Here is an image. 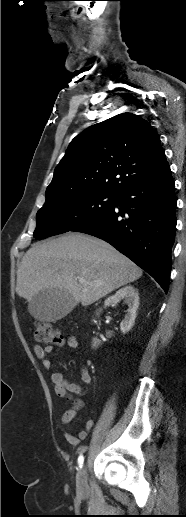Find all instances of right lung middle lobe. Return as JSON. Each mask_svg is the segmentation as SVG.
<instances>
[{
  "label": "right lung middle lobe",
  "mask_w": 186,
  "mask_h": 517,
  "mask_svg": "<svg viewBox=\"0 0 186 517\" xmlns=\"http://www.w3.org/2000/svg\"><path fill=\"white\" fill-rule=\"evenodd\" d=\"M117 199V194L81 192L48 200L37 212L34 237L44 239L72 231L110 210Z\"/></svg>",
  "instance_id": "dd1d6c3e"
}]
</instances>
